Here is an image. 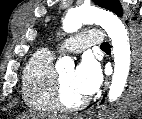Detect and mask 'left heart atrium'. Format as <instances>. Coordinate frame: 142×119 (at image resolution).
Listing matches in <instances>:
<instances>
[{
  "mask_svg": "<svg viewBox=\"0 0 142 119\" xmlns=\"http://www.w3.org/2000/svg\"><path fill=\"white\" fill-rule=\"evenodd\" d=\"M100 82L99 68L89 60L82 61L72 75V86L82 96L92 95L99 88Z\"/></svg>",
  "mask_w": 142,
  "mask_h": 119,
  "instance_id": "39dd6f15",
  "label": "left heart atrium"
}]
</instances>
